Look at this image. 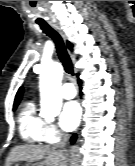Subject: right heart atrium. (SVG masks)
<instances>
[{
  "label": "right heart atrium",
  "instance_id": "right-heart-atrium-1",
  "mask_svg": "<svg viewBox=\"0 0 135 166\" xmlns=\"http://www.w3.org/2000/svg\"><path fill=\"white\" fill-rule=\"evenodd\" d=\"M44 137L48 142H56L60 140L61 133L59 132L55 124H53L52 122H45Z\"/></svg>",
  "mask_w": 135,
  "mask_h": 166
}]
</instances>
